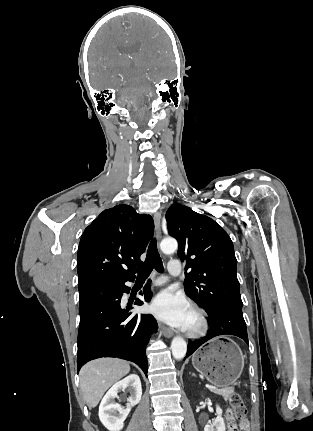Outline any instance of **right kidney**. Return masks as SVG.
<instances>
[{"instance_id": "obj_1", "label": "right kidney", "mask_w": 313, "mask_h": 431, "mask_svg": "<svg viewBox=\"0 0 313 431\" xmlns=\"http://www.w3.org/2000/svg\"><path fill=\"white\" fill-rule=\"evenodd\" d=\"M128 390L131 396L127 399L126 408H122L120 404L114 400L118 396L119 391ZM142 396L141 381L138 375L131 374L115 383L103 397L99 406V419L109 431H120L124 426V421L127 418L131 408L138 404Z\"/></svg>"}]
</instances>
